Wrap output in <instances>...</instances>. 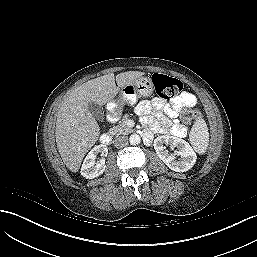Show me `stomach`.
Wrapping results in <instances>:
<instances>
[{
    "label": "stomach",
    "instance_id": "stomach-1",
    "mask_svg": "<svg viewBox=\"0 0 257 257\" xmlns=\"http://www.w3.org/2000/svg\"><path fill=\"white\" fill-rule=\"evenodd\" d=\"M153 92V83L149 77H140L134 82L124 86L120 91L123 103L134 104L137 97H148Z\"/></svg>",
    "mask_w": 257,
    "mask_h": 257
}]
</instances>
